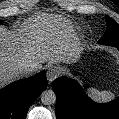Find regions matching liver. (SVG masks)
<instances>
[{
    "mask_svg": "<svg viewBox=\"0 0 119 119\" xmlns=\"http://www.w3.org/2000/svg\"><path fill=\"white\" fill-rule=\"evenodd\" d=\"M78 52L69 25L58 17L29 21L17 31L0 26V88L24 77L22 67L35 66L38 71L42 63H70Z\"/></svg>",
    "mask_w": 119,
    "mask_h": 119,
    "instance_id": "6515ba94",
    "label": "liver"
}]
</instances>
